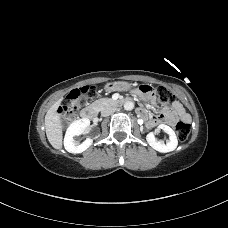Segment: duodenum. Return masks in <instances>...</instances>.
Segmentation results:
<instances>
[{
  "label": "duodenum",
  "instance_id": "duodenum-1",
  "mask_svg": "<svg viewBox=\"0 0 228 228\" xmlns=\"http://www.w3.org/2000/svg\"><path fill=\"white\" fill-rule=\"evenodd\" d=\"M132 100L129 98L126 99H117L113 101L115 106H122L127 103H131ZM80 116L84 120H93L96 118V111L93 108H85L81 111Z\"/></svg>",
  "mask_w": 228,
  "mask_h": 228
}]
</instances>
